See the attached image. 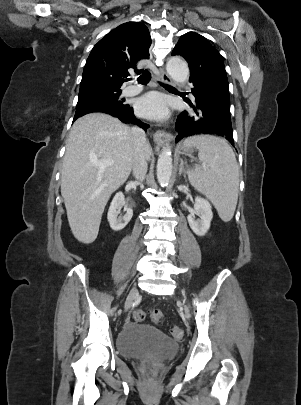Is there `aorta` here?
Here are the masks:
<instances>
[{
	"label": "aorta",
	"mask_w": 301,
	"mask_h": 405,
	"mask_svg": "<svg viewBox=\"0 0 301 405\" xmlns=\"http://www.w3.org/2000/svg\"><path fill=\"white\" fill-rule=\"evenodd\" d=\"M168 74L176 83H185L189 78L187 63L180 57H171L166 65ZM157 179L161 186L169 184L172 175L171 146L166 144L157 161Z\"/></svg>",
	"instance_id": "obj_1"
}]
</instances>
